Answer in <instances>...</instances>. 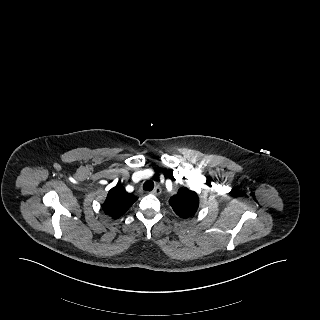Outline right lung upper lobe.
<instances>
[{
    "instance_id": "obj_1",
    "label": "right lung upper lobe",
    "mask_w": 320,
    "mask_h": 320,
    "mask_svg": "<svg viewBox=\"0 0 320 320\" xmlns=\"http://www.w3.org/2000/svg\"><path fill=\"white\" fill-rule=\"evenodd\" d=\"M137 199L134 194L126 192L123 186L116 185L108 192L102 210L113 219H117L125 214Z\"/></svg>"
}]
</instances>
